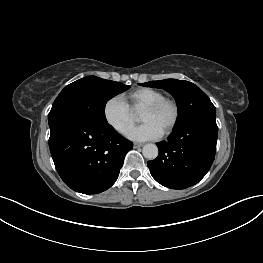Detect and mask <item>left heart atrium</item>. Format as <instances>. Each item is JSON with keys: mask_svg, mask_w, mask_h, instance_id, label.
Wrapping results in <instances>:
<instances>
[{"mask_svg": "<svg viewBox=\"0 0 263 263\" xmlns=\"http://www.w3.org/2000/svg\"><path fill=\"white\" fill-rule=\"evenodd\" d=\"M163 135V129L155 122L147 121L141 125L131 128L127 136L134 141L155 140Z\"/></svg>", "mask_w": 263, "mask_h": 263, "instance_id": "39dd6f15", "label": "left heart atrium"}]
</instances>
